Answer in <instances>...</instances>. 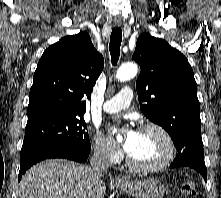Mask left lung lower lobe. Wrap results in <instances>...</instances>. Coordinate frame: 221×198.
<instances>
[{
    "label": "left lung lower lobe",
    "mask_w": 221,
    "mask_h": 198,
    "mask_svg": "<svg viewBox=\"0 0 221 198\" xmlns=\"http://www.w3.org/2000/svg\"><path fill=\"white\" fill-rule=\"evenodd\" d=\"M187 166L198 171L207 181V170L204 162V154L196 152L180 153L176 156L170 168Z\"/></svg>",
    "instance_id": "0a47b994"
}]
</instances>
